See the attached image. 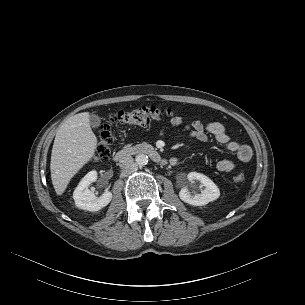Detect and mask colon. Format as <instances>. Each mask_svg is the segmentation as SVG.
Wrapping results in <instances>:
<instances>
[{"label":"colon","mask_w":305,"mask_h":305,"mask_svg":"<svg viewBox=\"0 0 305 305\" xmlns=\"http://www.w3.org/2000/svg\"><path fill=\"white\" fill-rule=\"evenodd\" d=\"M170 110L158 109L155 107H141L132 110H120L110 115L99 132V139L95 148L94 160H105L110 156V149L113 143L112 126L116 124L144 127L152 121L160 120L163 117H171ZM235 183H243L245 175L240 173L233 178Z\"/></svg>","instance_id":"colon-1"}]
</instances>
